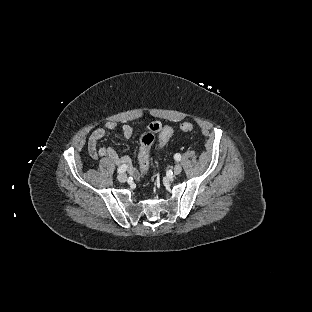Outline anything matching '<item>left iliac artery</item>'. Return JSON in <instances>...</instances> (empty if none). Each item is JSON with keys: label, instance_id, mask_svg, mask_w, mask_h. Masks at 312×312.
Segmentation results:
<instances>
[{"label": "left iliac artery", "instance_id": "44dca946", "mask_svg": "<svg viewBox=\"0 0 312 312\" xmlns=\"http://www.w3.org/2000/svg\"><path fill=\"white\" fill-rule=\"evenodd\" d=\"M174 159H175L176 161H180L181 155H180L179 153H176V154L174 155Z\"/></svg>", "mask_w": 312, "mask_h": 312}]
</instances>
